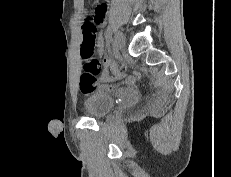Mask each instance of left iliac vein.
<instances>
[{"label": "left iliac vein", "mask_w": 231, "mask_h": 177, "mask_svg": "<svg viewBox=\"0 0 231 177\" xmlns=\"http://www.w3.org/2000/svg\"><path fill=\"white\" fill-rule=\"evenodd\" d=\"M125 36L121 31H118L114 37L113 46L116 52L121 51L125 46Z\"/></svg>", "instance_id": "4c4485c4"}]
</instances>
